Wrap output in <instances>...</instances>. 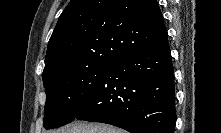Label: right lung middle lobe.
Wrapping results in <instances>:
<instances>
[{"mask_svg":"<svg viewBox=\"0 0 221 133\" xmlns=\"http://www.w3.org/2000/svg\"><path fill=\"white\" fill-rule=\"evenodd\" d=\"M111 64L72 65L43 76L47 100L44 109L46 129L74 120L96 90Z\"/></svg>","mask_w":221,"mask_h":133,"instance_id":"1","label":"right lung middle lobe"}]
</instances>
